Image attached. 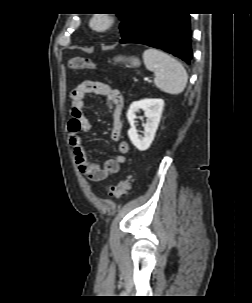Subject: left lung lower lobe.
<instances>
[{
  "instance_id": "left-lung-lower-lobe-1",
  "label": "left lung lower lobe",
  "mask_w": 252,
  "mask_h": 303,
  "mask_svg": "<svg viewBox=\"0 0 252 303\" xmlns=\"http://www.w3.org/2000/svg\"><path fill=\"white\" fill-rule=\"evenodd\" d=\"M120 43H139L162 49L190 64L192 49L189 14L146 11Z\"/></svg>"
}]
</instances>
